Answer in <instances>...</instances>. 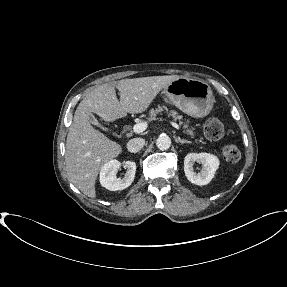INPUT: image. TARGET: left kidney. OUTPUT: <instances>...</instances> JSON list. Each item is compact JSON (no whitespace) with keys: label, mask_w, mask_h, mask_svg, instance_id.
<instances>
[{"label":"left kidney","mask_w":287,"mask_h":287,"mask_svg":"<svg viewBox=\"0 0 287 287\" xmlns=\"http://www.w3.org/2000/svg\"><path fill=\"white\" fill-rule=\"evenodd\" d=\"M198 161L202 164L200 173H196L193 169V164ZM219 167V159L209 153H189L184 159V172L187 179L196 185L208 184L215 175Z\"/></svg>","instance_id":"1"}]
</instances>
